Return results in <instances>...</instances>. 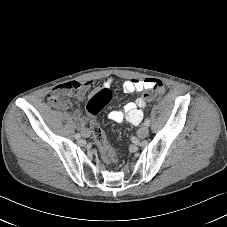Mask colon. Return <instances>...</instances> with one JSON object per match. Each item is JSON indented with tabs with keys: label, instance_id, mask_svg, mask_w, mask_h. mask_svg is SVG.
I'll list each match as a JSON object with an SVG mask.
<instances>
[{
	"label": "colon",
	"instance_id": "5ec220e1",
	"mask_svg": "<svg viewBox=\"0 0 227 227\" xmlns=\"http://www.w3.org/2000/svg\"><path fill=\"white\" fill-rule=\"evenodd\" d=\"M68 89H76V84L67 85ZM164 91L163 83L160 80L152 79L151 86L144 94L146 100H152L162 94ZM59 93H54L57 98ZM112 93L108 88H103L95 93L87 104V112L91 117L98 115L101 110L110 102ZM92 132L98 142L99 150L102 151L103 157L108 161H114L118 155L111 149V144L107 143L103 130L96 121H92Z\"/></svg>",
	"mask_w": 227,
	"mask_h": 227
}]
</instances>
